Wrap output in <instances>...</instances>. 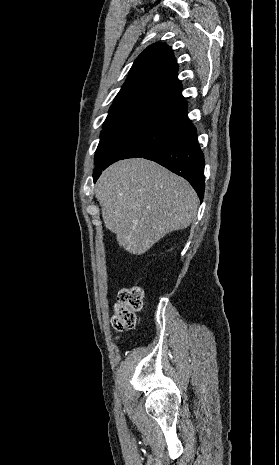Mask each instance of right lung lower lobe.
Instances as JSON below:
<instances>
[{
    "mask_svg": "<svg viewBox=\"0 0 279 465\" xmlns=\"http://www.w3.org/2000/svg\"><path fill=\"white\" fill-rule=\"evenodd\" d=\"M143 158L155 161L188 180L202 202L205 189L204 155L197 141L196 128L189 119L181 125L172 141ZM107 166L94 169V181Z\"/></svg>",
    "mask_w": 279,
    "mask_h": 465,
    "instance_id": "98d812e1",
    "label": "right lung lower lobe"
}]
</instances>
